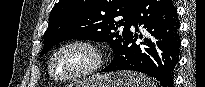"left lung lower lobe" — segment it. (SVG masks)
I'll return each mask as SVG.
<instances>
[{
    "label": "left lung lower lobe",
    "mask_w": 205,
    "mask_h": 87,
    "mask_svg": "<svg viewBox=\"0 0 205 87\" xmlns=\"http://www.w3.org/2000/svg\"><path fill=\"white\" fill-rule=\"evenodd\" d=\"M131 25L150 33L141 45L131 34L121 53L102 71L134 70L157 79L163 87H173V71L179 60L180 37L177 9L173 0H139ZM140 38L143 36L140 34Z\"/></svg>",
    "instance_id": "1"
}]
</instances>
